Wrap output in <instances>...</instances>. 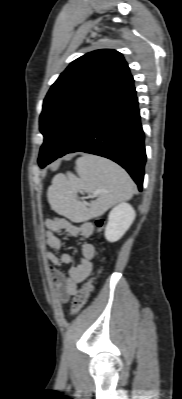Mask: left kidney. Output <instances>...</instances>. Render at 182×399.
<instances>
[{
    "label": "left kidney",
    "mask_w": 182,
    "mask_h": 399,
    "mask_svg": "<svg viewBox=\"0 0 182 399\" xmlns=\"http://www.w3.org/2000/svg\"><path fill=\"white\" fill-rule=\"evenodd\" d=\"M135 210L125 202L115 206L108 215L105 238L108 242L118 241L129 229L135 219Z\"/></svg>",
    "instance_id": "obj_1"
}]
</instances>
